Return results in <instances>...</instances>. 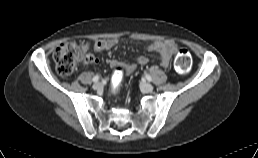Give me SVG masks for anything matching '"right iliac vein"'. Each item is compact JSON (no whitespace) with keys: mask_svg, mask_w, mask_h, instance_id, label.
Instances as JSON below:
<instances>
[{"mask_svg":"<svg viewBox=\"0 0 258 158\" xmlns=\"http://www.w3.org/2000/svg\"><path fill=\"white\" fill-rule=\"evenodd\" d=\"M102 88V84L100 82H97L95 84H93V89L94 90H99Z\"/></svg>","mask_w":258,"mask_h":158,"instance_id":"obj_1","label":"right iliac vein"}]
</instances>
